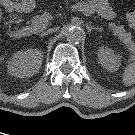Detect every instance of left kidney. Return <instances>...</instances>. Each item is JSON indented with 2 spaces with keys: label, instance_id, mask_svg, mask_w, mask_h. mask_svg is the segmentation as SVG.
Segmentation results:
<instances>
[{
  "label": "left kidney",
  "instance_id": "5707ae66",
  "mask_svg": "<svg viewBox=\"0 0 135 135\" xmlns=\"http://www.w3.org/2000/svg\"><path fill=\"white\" fill-rule=\"evenodd\" d=\"M99 63L108 71H117L120 66L121 56L115 54L114 51L108 47L101 46L98 49Z\"/></svg>",
  "mask_w": 135,
  "mask_h": 135
}]
</instances>
